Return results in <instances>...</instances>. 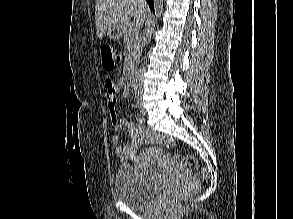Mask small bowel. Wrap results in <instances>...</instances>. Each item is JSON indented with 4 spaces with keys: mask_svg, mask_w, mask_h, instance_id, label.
I'll return each instance as SVG.
<instances>
[{
    "mask_svg": "<svg viewBox=\"0 0 293 219\" xmlns=\"http://www.w3.org/2000/svg\"><path fill=\"white\" fill-rule=\"evenodd\" d=\"M104 85L112 127L115 131L126 129L130 138L129 144L121 146L118 136H114L113 144L115 146V153L124 162L134 161L138 149L148 141L149 135L142 124L128 122L126 119L119 117L116 113L115 108L118 95L121 94L123 98H128L130 95L124 79L118 81L106 79Z\"/></svg>",
    "mask_w": 293,
    "mask_h": 219,
    "instance_id": "1",
    "label": "small bowel"
}]
</instances>
